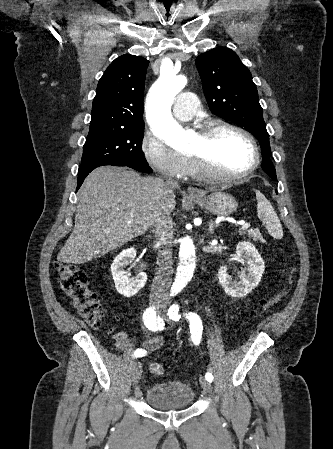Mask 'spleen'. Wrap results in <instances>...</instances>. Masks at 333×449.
Returning <instances> with one entry per match:
<instances>
[{"label": "spleen", "mask_w": 333, "mask_h": 449, "mask_svg": "<svg viewBox=\"0 0 333 449\" xmlns=\"http://www.w3.org/2000/svg\"><path fill=\"white\" fill-rule=\"evenodd\" d=\"M255 193L259 219L266 225L271 236L276 239H281L283 237V230L273 206L259 190H255Z\"/></svg>", "instance_id": "obj_1"}]
</instances>
